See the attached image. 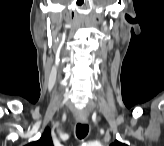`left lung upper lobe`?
Instances as JSON below:
<instances>
[{
	"mask_svg": "<svg viewBox=\"0 0 164 146\" xmlns=\"http://www.w3.org/2000/svg\"><path fill=\"white\" fill-rule=\"evenodd\" d=\"M111 146H126V145L116 140L113 144H111Z\"/></svg>",
	"mask_w": 164,
	"mask_h": 146,
	"instance_id": "1",
	"label": "left lung upper lobe"
}]
</instances>
